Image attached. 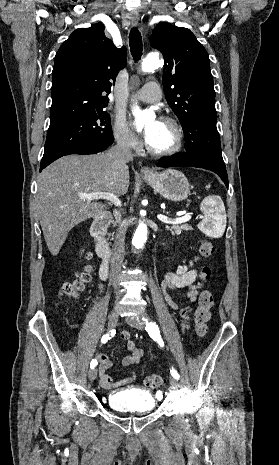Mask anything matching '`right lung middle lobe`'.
I'll use <instances>...</instances> for the list:
<instances>
[{"label": "right lung middle lobe", "mask_w": 279, "mask_h": 465, "mask_svg": "<svg viewBox=\"0 0 279 465\" xmlns=\"http://www.w3.org/2000/svg\"><path fill=\"white\" fill-rule=\"evenodd\" d=\"M103 108L50 124L40 165L80 146L113 143L110 115Z\"/></svg>", "instance_id": "1"}]
</instances>
